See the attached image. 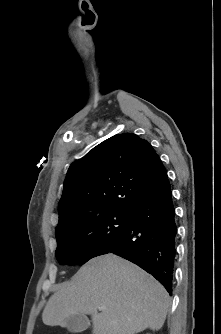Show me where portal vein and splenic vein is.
Returning <instances> with one entry per match:
<instances>
[{"mask_svg": "<svg viewBox=\"0 0 221 334\" xmlns=\"http://www.w3.org/2000/svg\"><path fill=\"white\" fill-rule=\"evenodd\" d=\"M99 309L102 311V310H104L105 308H104V307H101V308H99Z\"/></svg>", "mask_w": 221, "mask_h": 334, "instance_id": "portal-vein-and-splenic-vein-1", "label": "portal vein and splenic vein"}]
</instances>
